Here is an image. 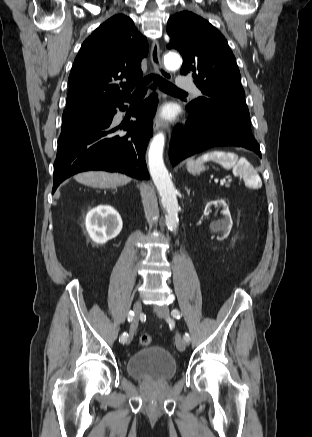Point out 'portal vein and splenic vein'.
Returning <instances> with one entry per match:
<instances>
[{
	"instance_id": "18ae733b",
	"label": "portal vein and splenic vein",
	"mask_w": 312,
	"mask_h": 437,
	"mask_svg": "<svg viewBox=\"0 0 312 437\" xmlns=\"http://www.w3.org/2000/svg\"><path fill=\"white\" fill-rule=\"evenodd\" d=\"M226 181L225 180H220V184L223 185Z\"/></svg>"
}]
</instances>
